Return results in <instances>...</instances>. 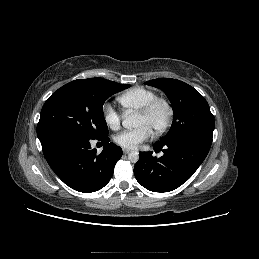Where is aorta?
<instances>
[{"label":"aorta","instance_id":"762f6f07","mask_svg":"<svg viewBox=\"0 0 259 259\" xmlns=\"http://www.w3.org/2000/svg\"><path fill=\"white\" fill-rule=\"evenodd\" d=\"M122 125L126 129H132L139 126V117L138 115L131 113L124 117ZM128 160L132 163H136L139 160V153L132 151L128 154Z\"/></svg>","mask_w":259,"mask_h":259}]
</instances>
